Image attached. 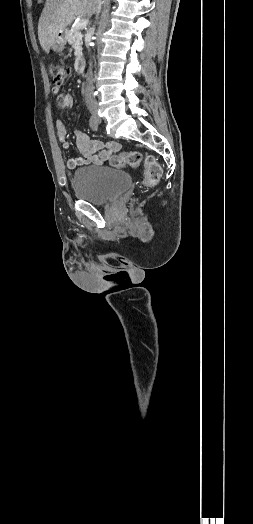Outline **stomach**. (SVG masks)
<instances>
[{
    "instance_id": "0dacf381",
    "label": "stomach",
    "mask_w": 253,
    "mask_h": 524,
    "mask_svg": "<svg viewBox=\"0 0 253 524\" xmlns=\"http://www.w3.org/2000/svg\"><path fill=\"white\" fill-rule=\"evenodd\" d=\"M66 45V35L65 32H59L52 42L51 48L55 52H61L65 48Z\"/></svg>"
}]
</instances>
